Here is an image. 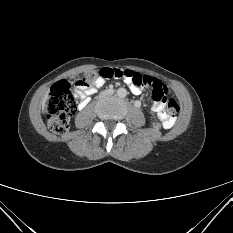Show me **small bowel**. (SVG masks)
<instances>
[{
    "label": "small bowel",
    "instance_id": "small-bowel-1",
    "mask_svg": "<svg viewBox=\"0 0 233 233\" xmlns=\"http://www.w3.org/2000/svg\"><path fill=\"white\" fill-rule=\"evenodd\" d=\"M158 81V80H157ZM106 82L105 78L97 79L91 86L86 88L76 87V93L79 97V108H84L88 101L89 96L94 94L99 88H101ZM125 82L130 86L131 91L138 95L141 93V89L132 85L128 80ZM152 108L157 113L158 118L165 123V127L169 128L173 125L174 119H170L164 111V106L161 103L153 102Z\"/></svg>",
    "mask_w": 233,
    "mask_h": 233
}]
</instances>
